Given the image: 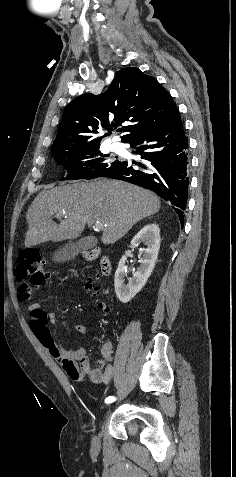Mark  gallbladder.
<instances>
[{
	"instance_id": "gallbladder-1",
	"label": "gallbladder",
	"mask_w": 236,
	"mask_h": 477,
	"mask_svg": "<svg viewBox=\"0 0 236 477\" xmlns=\"http://www.w3.org/2000/svg\"><path fill=\"white\" fill-rule=\"evenodd\" d=\"M96 239L93 237H84L79 240H72L66 243L54 254L56 261H66L73 259L81 251L93 248L96 245Z\"/></svg>"
}]
</instances>
